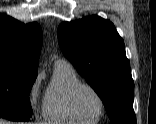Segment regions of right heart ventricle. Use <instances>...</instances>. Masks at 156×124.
Segmentation results:
<instances>
[{
    "instance_id": "obj_1",
    "label": "right heart ventricle",
    "mask_w": 156,
    "mask_h": 124,
    "mask_svg": "<svg viewBox=\"0 0 156 124\" xmlns=\"http://www.w3.org/2000/svg\"><path fill=\"white\" fill-rule=\"evenodd\" d=\"M74 68L66 61L55 63L54 75L44 96L43 114L45 120L54 124H92L77 118L70 107V93L81 84Z\"/></svg>"
}]
</instances>
